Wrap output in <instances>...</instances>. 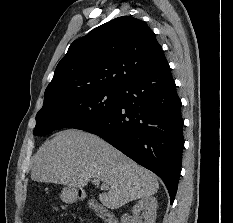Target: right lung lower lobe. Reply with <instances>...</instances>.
Returning <instances> with one entry per match:
<instances>
[{
    "label": "right lung lower lobe",
    "mask_w": 233,
    "mask_h": 223,
    "mask_svg": "<svg viewBox=\"0 0 233 223\" xmlns=\"http://www.w3.org/2000/svg\"><path fill=\"white\" fill-rule=\"evenodd\" d=\"M119 92L117 107L78 129L96 134L157 174L174 200L182 163L181 101L170 67L141 76Z\"/></svg>",
    "instance_id": "right-lung-lower-lobe-1"
}]
</instances>
